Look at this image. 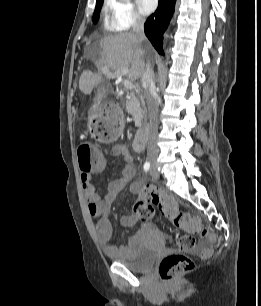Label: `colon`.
Instances as JSON below:
<instances>
[{
    "mask_svg": "<svg viewBox=\"0 0 261 306\" xmlns=\"http://www.w3.org/2000/svg\"><path fill=\"white\" fill-rule=\"evenodd\" d=\"M108 110L113 113L112 119L108 122L97 121L91 127L94 138L104 142L116 139L121 130V116L118 107L115 104H110ZM77 154L79 167L82 171L91 170L105 160L101 152L92 150L89 142L80 143ZM155 206H158L176 227L186 231V234L180 235L176 239L177 252L164 257L158 267L160 277L165 281H170L193 270L194 261L184 252L195 248V235L200 234L208 237L212 242L214 236L201 227L197 218L186 211L179 210L172 198L167 197L152 186L145 187L142 196L135 203L134 211L139 219L147 221L153 218ZM210 250V247L206 248L203 255L207 256Z\"/></svg>",
    "mask_w": 261,
    "mask_h": 306,
    "instance_id": "5ec220e1",
    "label": "colon"
}]
</instances>
